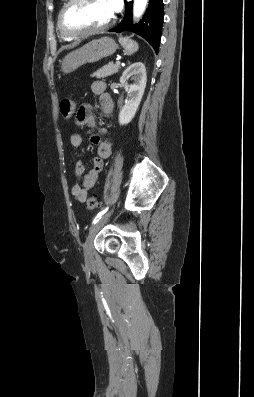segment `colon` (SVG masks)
I'll return each mask as SVG.
<instances>
[{
    "instance_id": "obj_1",
    "label": "colon",
    "mask_w": 254,
    "mask_h": 397,
    "mask_svg": "<svg viewBox=\"0 0 254 397\" xmlns=\"http://www.w3.org/2000/svg\"><path fill=\"white\" fill-rule=\"evenodd\" d=\"M77 102L71 99H64L60 103L61 113L64 118H70L76 111ZM89 210H94L99 206V199L95 196L89 197L86 202Z\"/></svg>"
}]
</instances>
